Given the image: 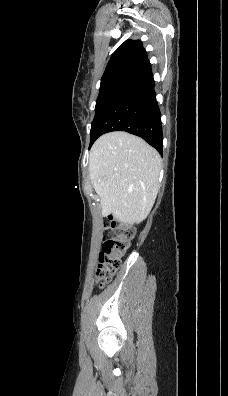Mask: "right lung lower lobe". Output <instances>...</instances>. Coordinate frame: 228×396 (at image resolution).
<instances>
[{
    "label": "right lung lower lobe",
    "mask_w": 228,
    "mask_h": 396,
    "mask_svg": "<svg viewBox=\"0 0 228 396\" xmlns=\"http://www.w3.org/2000/svg\"><path fill=\"white\" fill-rule=\"evenodd\" d=\"M154 85L151 69L127 85L98 119L90 147L104 133L126 131L143 138L162 155L161 113Z\"/></svg>",
    "instance_id": "1"
}]
</instances>
